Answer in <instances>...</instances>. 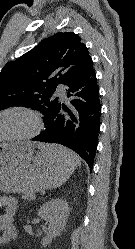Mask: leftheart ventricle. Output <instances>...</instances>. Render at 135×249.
Wrapping results in <instances>:
<instances>
[{"label": "left heart ventricle", "mask_w": 135, "mask_h": 249, "mask_svg": "<svg viewBox=\"0 0 135 249\" xmlns=\"http://www.w3.org/2000/svg\"><path fill=\"white\" fill-rule=\"evenodd\" d=\"M31 122L23 114L12 113L0 117V138L29 131Z\"/></svg>", "instance_id": "1"}]
</instances>
